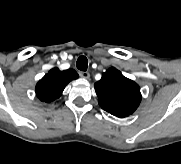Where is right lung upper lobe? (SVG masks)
Masks as SVG:
<instances>
[{
	"instance_id": "right-lung-upper-lobe-1",
	"label": "right lung upper lobe",
	"mask_w": 181,
	"mask_h": 164,
	"mask_svg": "<svg viewBox=\"0 0 181 164\" xmlns=\"http://www.w3.org/2000/svg\"><path fill=\"white\" fill-rule=\"evenodd\" d=\"M79 75L74 69L60 71L58 68L51 69L36 85L37 97L49 103L62 95L65 86Z\"/></svg>"
}]
</instances>
